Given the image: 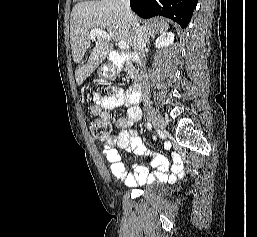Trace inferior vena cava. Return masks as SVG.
Returning <instances> with one entry per match:
<instances>
[{"label": "inferior vena cava", "mask_w": 257, "mask_h": 237, "mask_svg": "<svg viewBox=\"0 0 257 237\" xmlns=\"http://www.w3.org/2000/svg\"><path fill=\"white\" fill-rule=\"evenodd\" d=\"M120 3L123 8L124 18L133 31V50L139 55L142 61L140 65V79L142 82V98L144 102H148L150 99V93L148 89L147 74H146V67H145V60H144L145 42L143 38V33L139 26L138 21L136 20V18L134 17L131 11L130 0H120Z\"/></svg>", "instance_id": "obj_1"}]
</instances>
